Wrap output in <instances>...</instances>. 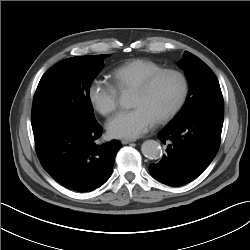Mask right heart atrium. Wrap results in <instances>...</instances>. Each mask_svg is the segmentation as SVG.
Wrapping results in <instances>:
<instances>
[{
  "mask_svg": "<svg viewBox=\"0 0 250 250\" xmlns=\"http://www.w3.org/2000/svg\"><path fill=\"white\" fill-rule=\"evenodd\" d=\"M88 100L100 114L107 116L115 112L118 106V91L106 80H93L87 91Z\"/></svg>",
  "mask_w": 250,
  "mask_h": 250,
  "instance_id": "1",
  "label": "right heart atrium"
}]
</instances>
